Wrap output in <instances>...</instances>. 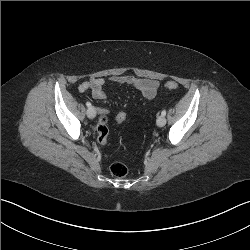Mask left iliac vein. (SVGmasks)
<instances>
[{
    "label": "left iliac vein",
    "instance_id": "4c4485c4",
    "mask_svg": "<svg viewBox=\"0 0 250 250\" xmlns=\"http://www.w3.org/2000/svg\"><path fill=\"white\" fill-rule=\"evenodd\" d=\"M156 123H157V125H158L159 127H163V126L166 124V119H165V117L162 116V115L159 116V117L157 118Z\"/></svg>",
    "mask_w": 250,
    "mask_h": 250
}]
</instances>
